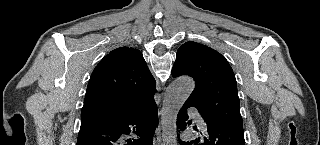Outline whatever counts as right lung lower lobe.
I'll return each instance as SVG.
<instances>
[{
  "label": "right lung lower lobe",
  "instance_id": "1",
  "mask_svg": "<svg viewBox=\"0 0 320 145\" xmlns=\"http://www.w3.org/2000/svg\"><path fill=\"white\" fill-rule=\"evenodd\" d=\"M157 125V107L153 101L126 119L81 126L77 145H152ZM131 132L138 138L126 140L124 135Z\"/></svg>",
  "mask_w": 320,
  "mask_h": 145
}]
</instances>
